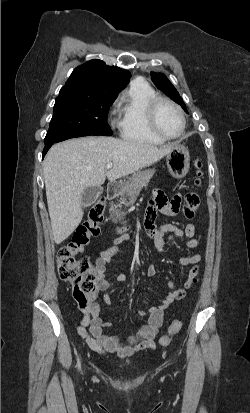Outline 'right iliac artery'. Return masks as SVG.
Masks as SVG:
<instances>
[{"label": "right iliac artery", "instance_id": "obj_1", "mask_svg": "<svg viewBox=\"0 0 250 413\" xmlns=\"http://www.w3.org/2000/svg\"><path fill=\"white\" fill-rule=\"evenodd\" d=\"M78 368L80 369V361L78 360Z\"/></svg>", "mask_w": 250, "mask_h": 413}]
</instances>
